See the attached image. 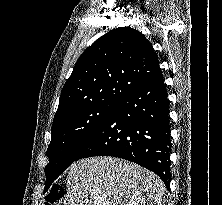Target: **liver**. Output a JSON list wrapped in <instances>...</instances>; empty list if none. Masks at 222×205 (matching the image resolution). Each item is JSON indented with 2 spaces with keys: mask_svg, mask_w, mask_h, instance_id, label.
Masks as SVG:
<instances>
[{
  "mask_svg": "<svg viewBox=\"0 0 222 205\" xmlns=\"http://www.w3.org/2000/svg\"><path fill=\"white\" fill-rule=\"evenodd\" d=\"M165 191L153 172L132 162L97 156L70 166L65 205H165Z\"/></svg>",
  "mask_w": 222,
  "mask_h": 205,
  "instance_id": "6515ba94",
  "label": "liver"
}]
</instances>
